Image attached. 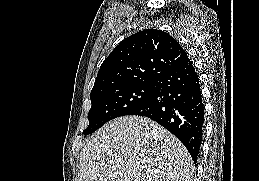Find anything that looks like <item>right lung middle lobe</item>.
Here are the masks:
<instances>
[{
	"instance_id": "dd1d6c3e",
	"label": "right lung middle lobe",
	"mask_w": 259,
	"mask_h": 181,
	"mask_svg": "<svg viewBox=\"0 0 259 181\" xmlns=\"http://www.w3.org/2000/svg\"><path fill=\"white\" fill-rule=\"evenodd\" d=\"M153 89L154 83L134 84L90 95L92 106L88 114L89 125L84 135L95 132L114 118L130 115L148 100Z\"/></svg>"
}]
</instances>
